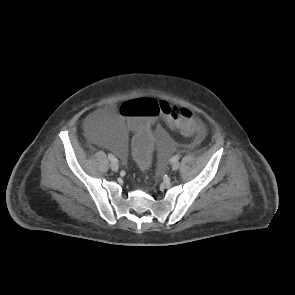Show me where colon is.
<instances>
[{"label": "colon", "instance_id": "1", "mask_svg": "<svg viewBox=\"0 0 295 295\" xmlns=\"http://www.w3.org/2000/svg\"><path fill=\"white\" fill-rule=\"evenodd\" d=\"M121 127H129L135 134L132 138V163L134 176L139 181H148L153 176V149L156 137L153 125L166 121L173 130L184 135H199L204 131L201 121L187 108L178 109L156 97L136 96L122 101L116 113Z\"/></svg>", "mask_w": 295, "mask_h": 295}]
</instances>
